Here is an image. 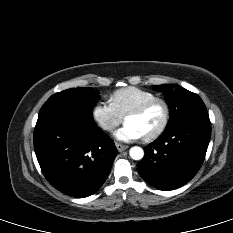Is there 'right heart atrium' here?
<instances>
[{
  "mask_svg": "<svg viewBox=\"0 0 233 233\" xmlns=\"http://www.w3.org/2000/svg\"><path fill=\"white\" fill-rule=\"evenodd\" d=\"M92 117L97 125L106 132H113L123 121L111 103L99 102L92 109Z\"/></svg>",
  "mask_w": 233,
  "mask_h": 233,
  "instance_id": "1",
  "label": "right heart atrium"
}]
</instances>
